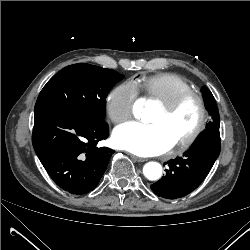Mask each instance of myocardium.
Returning <instances> with one entry per match:
<instances>
[{
	"instance_id": "obj_1",
	"label": "myocardium",
	"mask_w": 250,
	"mask_h": 250,
	"mask_svg": "<svg viewBox=\"0 0 250 250\" xmlns=\"http://www.w3.org/2000/svg\"><path fill=\"white\" fill-rule=\"evenodd\" d=\"M189 99H194L197 102L199 108V120L196 126L187 136L174 143V148L185 149L193 144L200 136L208 121L207 106L201 93L193 89L180 92L170 100L160 103L164 113L166 115H171Z\"/></svg>"
}]
</instances>
